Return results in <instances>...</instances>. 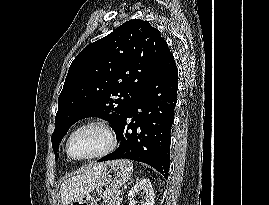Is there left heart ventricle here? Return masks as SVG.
Segmentation results:
<instances>
[{"label":"left heart ventricle","instance_id":"b2bd125f","mask_svg":"<svg viewBox=\"0 0 269 205\" xmlns=\"http://www.w3.org/2000/svg\"><path fill=\"white\" fill-rule=\"evenodd\" d=\"M108 146V136L98 126L78 131L72 138L71 151L76 157H87L101 152Z\"/></svg>","mask_w":269,"mask_h":205}]
</instances>
